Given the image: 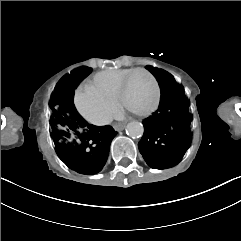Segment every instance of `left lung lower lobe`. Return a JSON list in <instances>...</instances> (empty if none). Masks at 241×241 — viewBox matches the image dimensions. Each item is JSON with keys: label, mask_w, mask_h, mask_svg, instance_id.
I'll return each instance as SVG.
<instances>
[{"label": "left lung lower lobe", "mask_w": 241, "mask_h": 241, "mask_svg": "<svg viewBox=\"0 0 241 241\" xmlns=\"http://www.w3.org/2000/svg\"><path fill=\"white\" fill-rule=\"evenodd\" d=\"M188 107L182 86H170L161 92L158 110L143 121L138 147L151 168H170L183 158L191 139Z\"/></svg>", "instance_id": "obj_1"}]
</instances>
